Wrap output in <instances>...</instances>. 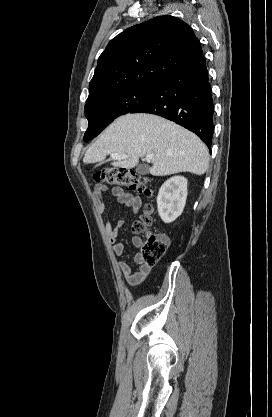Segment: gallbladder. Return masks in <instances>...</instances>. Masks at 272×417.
Masks as SVG:
<instances>
[{
    "instance_id": "bac80fb5",
    "label": "gallbladder",
    "mask_w": 272,
    "mask_h": 417,
    "mask_svg": "<svg viewBox=\"0 0 272 417\" xmlns=\"http://www.w3.org/2000/svg\"><path fill=\"white\" fill-rule=\"evenodd\" d=\"M136 172L140 175H146L149 173V166L146 164H140L137 166Z\"/></svg>"
}]
</instances>
